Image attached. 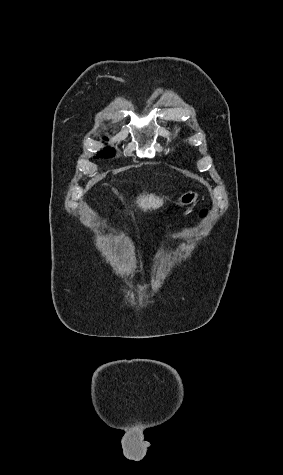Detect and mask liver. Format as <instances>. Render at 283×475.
<instances>
[{
    "label": "liver",
    "mask_w": 283,
    "mask_h": 475,
    "mask_svg": "<svg viewBox=\"0 0 283 475\" xmlns=\"http://www.w3.org/2000/svg\"><path fill=\"white\" fill-rule=\"evenodd\" d=\"M138 208H141L143 212H147V210H157V208H161L163 206V198H159V196H155V194H143V196H138L137 202Z\"/></svg>",
    "instance_id": "1"
}]
</instances>
